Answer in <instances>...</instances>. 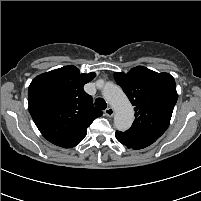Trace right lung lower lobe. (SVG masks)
<instances>
[{
	"label": "right lung lower lobe",
	"mask_w": 201,
	"mask_h": 201,
	"mask_svg": "<svg viewBox=\"0 0 201 201\" xmlns=\"http://www.w3.org/2000/svg\"><path fill=\"white\" fill-rule=\"evenodd\" d=\"M77 145V144H76ZM75 146V145H74ZM74 146H70V147H74ZM70 147H66V148H70Z\"/></svg>",
	"instance_id": "right-lung-lower-lobe-1"
}]
</instances>
